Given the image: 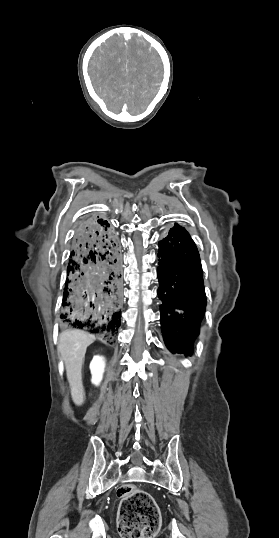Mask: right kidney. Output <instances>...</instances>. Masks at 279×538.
<instances>
[{"mask_svg": "<svg viewBox=\"0 0 279 538\" xmlns=\"http://www.w3.org/2000/svg\"><path fill=\"white\" fill-rule=\"evenodd\" d=\"M105 368V362L104 358L102 356H94L91 364H90V370L92 374V384H100L102 378H103V372Z\"/></svg>", "mask_w": 279, "mask_h": 538, "instance_id": "1", "label": "right kidney"}]
</instances>
